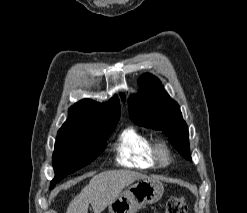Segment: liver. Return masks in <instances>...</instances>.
I'll return each mask as SVG.
<instances>
[{
    "label": "liver",
    "instance_id": "liver-1",
    "mask_svg": "<svg viewBox=\"0 0 247 213\" xmlns=\"http://www.w3.org/2000/svg\"><path fill=\"white\" fill-rule=\"evenodd\" d=\"M146 175L129 170H112L99 173L90 180L81 192L70 202L66 213H88L91 204L94 213H101L116 200L122 190Z\"/></svg>",
    "mask_w": 247,
    "mask_h": 213
}]
</instances>
